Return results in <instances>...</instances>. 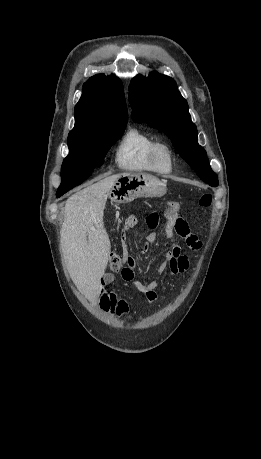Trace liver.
Masks as SVG:
<instances>
[{"instance_id":"liver-1","label":"liver","mask_w":261,"mask_h":459,"mask_svg":"<svg viewBox=\"0 0 261 459\" xmlns=\"http://www.w3.org/2000/svg\"><path fill=\"white\" fill-rule=\"evenodd\" d=\"M122 174L107 176L68 198L61 228V249L78 290L97 300L111 252L103 214L110 191Z\"/></svg>"}]
</instances>
